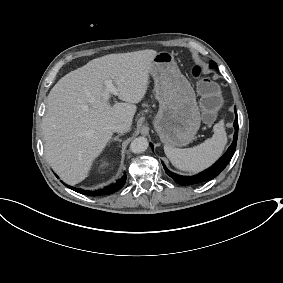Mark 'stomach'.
Instances as JSON below:
<instances>
[{
    "mask_svg": "<svg viewBox=\"0 0 283 283\" xmlns=\"http://www.w3.org/2000/svg\"><path fill=\"white\" fill-rule=\"evenodd\" d=\"M149 73L160 104L153 122L160 140L172 147L187 145L201 122L190 82L181 74L173 55L165 51L155 55Z\"/></svg>",
    "mask_w": 283,
    "mask_h": 283,
    "instance_id": "1",
    "label": "stomach"
}]
</instances>
